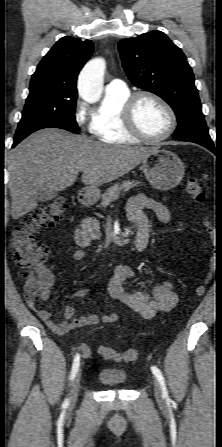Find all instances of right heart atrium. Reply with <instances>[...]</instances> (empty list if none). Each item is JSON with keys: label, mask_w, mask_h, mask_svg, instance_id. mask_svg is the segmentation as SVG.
Instances as JSON below:
<instances>
[{"label": "right heart atrium", "mask_w": 222, "mask_h": 447, "mask_svg": "<svg viewBox=\"0 0 222 447\" xmlns=\"http://www.w3.org/2000/svg\"><path fill=\"white\" fill-rule=\"evenodd\" d=\"M74 118L78 126H82L85 121V114L82 108L79 106L76 107L74 112Z\"/></svg>", "instance_id": "1"}]
</instances>
